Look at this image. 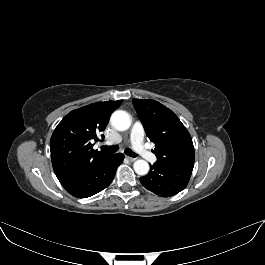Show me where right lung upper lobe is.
Segmentation results:
<instances>
[{
  "mask_svg": "<svg viewBox=\"0 0 265 265\" xmlns=\"http://www.w3.org/2000/svg\"><path fill=\"white\" fill-rule=\"evenodd\" d=\"M122 100L93 103L68 113L55 128L50 151L54 172L58 180H64L99 158L107 155L93 149L91 141H99L111 114ZM103 137V135H102Z\"/></svg>",
  "mask_w": 265,
  "mask_h": 265,
  "instance_id": "obj_1",
  "label": "right lung upper lobe"
}]
</instances>
